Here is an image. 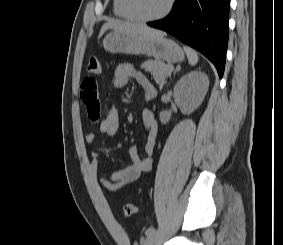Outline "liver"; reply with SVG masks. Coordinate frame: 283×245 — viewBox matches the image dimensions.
I'll list each match as a JSON object with an SVG mask.
<instances>
[{"mask_svg":"<svg viewBox=\"0 0 283 245\" xmlns=\"http://www.w3.org/2000/svg\"><path fill=\"white\" fill-rule=\"evenodd\" d=\"M108 29H113L114 31L133 33V34H144V35H154V36L163 35L162 32L151 29L145 25L134 24V23L118 21V20H110L102 26L99 33V37H101Z\"/></svg>","mask_w":283,"mask_h":245,"instance_id":"6515ba94","label":"liver"}]
</instances>
